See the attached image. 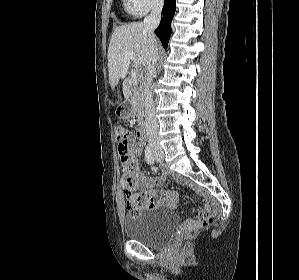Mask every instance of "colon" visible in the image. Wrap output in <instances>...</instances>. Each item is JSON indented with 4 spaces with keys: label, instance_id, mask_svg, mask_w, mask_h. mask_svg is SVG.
<instances>
[{
    "label": "colon",
    "instance_id": "obj_1",
    "mask_svg": "<svg viewBox=\"0 0 299 280\" xmlns=\"http://www.w3.org/2000/svg\"><path fill=\"white\" fill-rule=\"evenodd\" d=\"M115 136L118 146V157L119 160L124 167V170H127L129 168V149L131 145V137L129 131L122 127L118 126L115 129ZM127 208L129 212L133 215H136L140 212V206L135 200V195L128 191L127 193ZM212 218L209 219V222H211ZM207 221L203 222L202 225H205ZM194 227L188 228L189 231H193Z\"/></svg>",
    "mask_w": 299,
    "mask_h": 280
}]
</instances>
